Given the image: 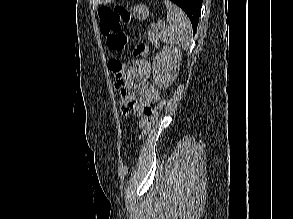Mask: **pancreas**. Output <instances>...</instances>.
Segmentation results:
<instances>
[{
    "label": "pancreas",
    "instance_id": "cf45deb5",
    "mask_svg": "<svg viewBox=\"0 0 293 219\" xmlns=\"http://www.w3.org/2000/svg\"><path fill=\"white\" fill-rule=\"evenodd\" d=\"M148 39L153 45H155V46L159 45V43H158L159 35L154 30L148 31Z\"/></svg>",
    "mask_w": 293,
    "mask_h": 219
}]
</instances>
